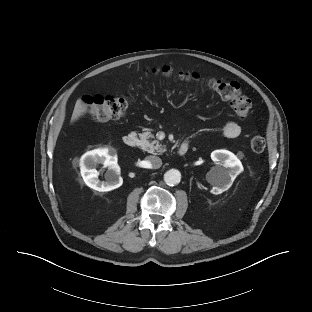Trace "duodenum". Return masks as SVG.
Masks as SVG:
<instances>
[{
  "label": "duodenum",
  "instance_id": "410a0bca",
  "mask_svg": "<svg viewBox=\"0 0 312 312\" xmlns=\"http://www.w3.org/2000/svg\"><path fill=\"white\" fill-rule=\"evenodd\" d=\"M123 143L127 147H135L138 143V137L134 133H129L123 137ZM189 150V143L184 142L178 146V154L185 155Z\"/></svg>",
  "mask_w": 312,
  "mask_h": 312
}]
</instances>
